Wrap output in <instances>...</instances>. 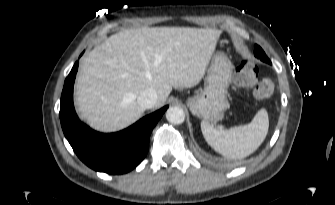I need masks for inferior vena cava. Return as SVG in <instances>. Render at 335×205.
<instances>
[{
	"label": "inferior vena cava",
	"mask_w": 335,
	"mask_h": 205,
	"mask_svg": "<svg viewBox=\"0 0 335 205\" xmlns=\"http://www.w3.org/2000/svg\"><path fill=\"white\" fill-rule=\"evenodd\" d=\"M157 92L155 89H148L145 90L139 97H138V103L139 105L144 109H150L153 108L156 105L157 102Z\"/></svg>",
	"instance_id": "1"
}]
</instances>
